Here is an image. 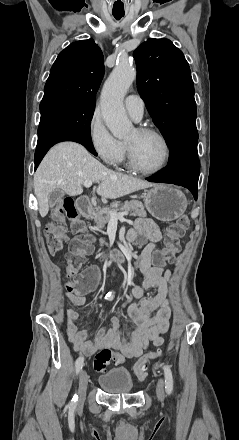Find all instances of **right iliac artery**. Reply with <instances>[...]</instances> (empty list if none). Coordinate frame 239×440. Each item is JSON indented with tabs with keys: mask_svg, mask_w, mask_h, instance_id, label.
Wrapping results in <instances>:
<instances>
[{
	"mask_svg": "<svg viewBox=\"0 0 239 440\" xmlns=\"http://www.w3.org/2000/svg\"><path fill=\"white\" fill-rule=\"evenodd\" d=\"M113 297H114V293L109 292V293L106 295L105 299H107V300H112ZM83 365H84V358H83V357H79V358L76 360V363H75V369H76V373H77V374L81 371ZM77 400H78V396H77V395H74V397L72 398V400H71V402H70V404H69V406H70L71 409H74V408L76 407V405H77Z\"/></svg>",
	"mask_w": 239,
	"mask_h": 440,
	"instance_id": "obj_1",
	"label": "right iliac artery"
}]
</instances>
